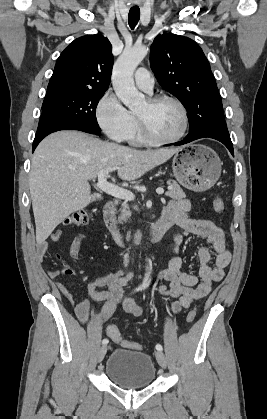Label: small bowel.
<instances>
[{"label":"small bowel","mask_w":267,"mask_h":419,"mask_svg":"<svg viewBox=\"0 0 267 419\" xmlns=\"http://www.w3.org/2000/svg\"><path fill=\"white\" fill-rule=\"evenodd\" d=\"M191 210V202L187 199L172 201L166 208L162 216L172 221L173 224L182 229V233L174 238L173 257L170 259L168 267L158 274V290L161 294L174 299L172 304L173 311H180L188 308L194 300L205 298L211 291L214 283L221 281L225 275V269L231 260L225 236L221 228L210 220L192 219L188 216ZM90 234L83 232L78 234L72 241L69 253L76 257L79 254L82 241ZM189 235H196L205 238L210 244L215 254L214 266L210 265L211 251L208 247L199 249V273L198 276L185 272L182 269V259L178 256L180 246L184 239ZM60 232L52 234V240H58ZM48 249L47 242H41L36 247V257L39 261L44 260ZM51 278H57L60 272L57 270L48 271ZM132 274H125L124 271L104 276L91 282L87 286V294L96 301H103L104 307L95 316V321L100 323L110 317L116 303L121 299L123 286L131 279ZM164 282H168L167 286ZM61 294L74 306L77 319L86 324L89 321L90 301L83 297L75 303L72 295L65 284L58 281L56 283ZM106 287L107 290H100ZM122 311L134 316L142 314V308L136 305L133 299H125Z\"/></svg>","instance_id":"1"}]
</instances>
